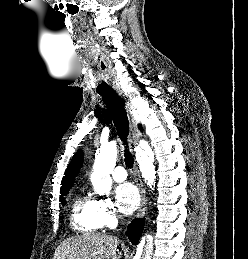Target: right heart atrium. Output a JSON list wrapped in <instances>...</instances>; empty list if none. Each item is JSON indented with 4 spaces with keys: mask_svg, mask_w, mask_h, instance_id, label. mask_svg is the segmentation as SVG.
Here are the masks:
<instances>
[{
    "mask_svg": "<svg viewBox=\"0 0 248 259\" xmlns=\"http://www.w3.org/2000/svg\"><path fill=\"white\" fill-rule=\"evenodd\" d=\"M97 210L102 226L112 227L118 220V213L114 203L108 198L97 200Z\"/></svg>",
    "mask_w": 248,
    "mask_h": 259,
    "instance_id": "d8ad5b80",
    "label": "right heart atrium"
}]
</instances>
